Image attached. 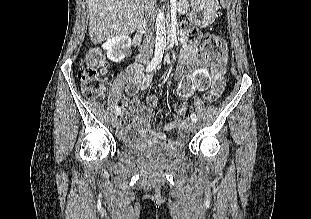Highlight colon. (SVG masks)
Listing matches in <instances>:
<instances>
[{"label":"colon","instance_id":"obj_1","mask_svg":"<svg viewBox=\"0 0 311 219\" xmlns=\"http://www.w3.org/2000/svg\"><path fill=\"white\" fill-rule=\"evenodd\" d=\"M227 43L223 37L210 35L202 42L200 53L205 61L210 63L213 70L224 72L226 60ZM80 80L84 96L89 100H97L105 95L107 84L105 76L108 73V65L103 52L98 47L86 51L82 61ZM191 85L198 89H205L209 85V75L199 73L187 80L179 87L181 95H188L191 92Z\"/></svg>","mask_w":311,"mask_h":219}]
</instances>
